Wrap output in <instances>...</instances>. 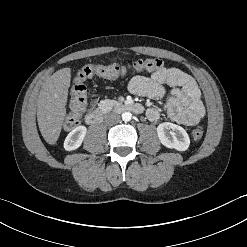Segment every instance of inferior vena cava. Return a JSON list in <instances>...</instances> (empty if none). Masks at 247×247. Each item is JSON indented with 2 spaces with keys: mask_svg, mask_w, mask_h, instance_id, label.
<instances>
[{
  "mask_svg": "<svg viewBox=\"0 0 247 247\" xmlns=\"http://www.w3.org/2000/svg\"><path fill=\"white\" fill-rule=\"evenodd\" d=\"M120 121V116L116 113H110L105 116V122L107 124H115Z\"/></svg>",
  "mask_w": 247,
  "mask_h": 247,
  "instance_id": "602c4592",
  "label": "inferior vena cava"
}]
</instances>
